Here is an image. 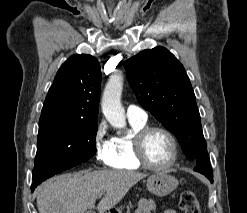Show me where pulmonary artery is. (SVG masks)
<instances>
[{
    "mask_svg": "<svg viewBox=\"0 0 247 213\" xmlns=\"http://www.w3.org/2000/svg\"><path fill=\"white\" fill-rule=\"evenodd\" d=\"M126 116L129 120H134V121L144 122L147 120L146 111L135 105H129L127 107Z\"/></svg>",
    "mask_w": 247,
    "mask_h": 213,
    "instance_id": "pulmonary-artery-1",
    "label": "pulmonary artery"
}]
</instances>
